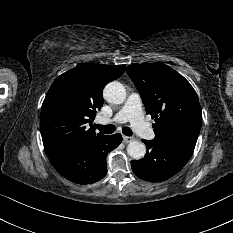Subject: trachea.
Instances as JSON below:
<instances>
[{
	"mask_svg": "<svg viewBox=\"0 0 233 233\" xmlns=\"http://www.w3.org/2000/svg\"><path fill=\"white\" fill-rule=\"evenodd\" d=\"M95 127L104 134H111L115 131L114 125H95ZM122 132L126 136H131L133 134L132 130L129 127H123Z\"/></svg>",
	"mask_w": 233,
	"mask_h": 233,
	"instance_id": "trachea-1",
	"label": "trachea"
}]
</instances>
